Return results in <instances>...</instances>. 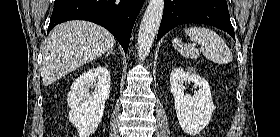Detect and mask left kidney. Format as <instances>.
<instances>
[{
  "mask_svg": "<svg viewBox=\"0 0 280 137\" xmlns=\"http://www.w3.org/2000/svg\"><path fill=\"white\" fill-rule=\"evenodd\" d=\"M187 82L198 88L193 96L184 93V83ZM170 85L182 130L189 135H197L209 124L214 110L208 81L194 72L176 67L171 72Z\"/></svg>",
  "mask_w": 280,
  "mask_h": 137,
  "instance_id": "left-kidney-1",
  "label": "left kidney"
}]
</instances>
